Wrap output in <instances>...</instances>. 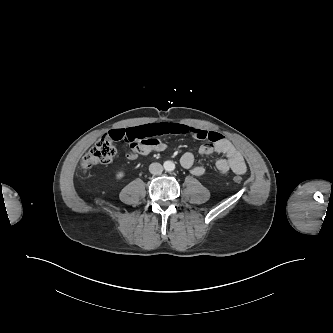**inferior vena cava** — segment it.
<instances>
[{
  "label": "inferior vena cava",
  "mask_w": 333,
  "mask_h": 333,
  "mask_svg": "<svg viewBox=\"0 0 333 333\" xmlns=\"http://www.w3.org/2000/svg\"><path fill=\"white\" fill-rule=\"evenodd\" d=\"M149 171L154 175H159L163 172V166L160 163H151L149 166Z\"/></svg>",
  "instance_id": "obj_1"
}]
</instances>
